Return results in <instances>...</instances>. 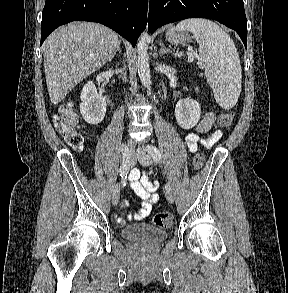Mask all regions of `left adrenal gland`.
<instances>
[{"mask_svg": "<svg viewBox=\"0 0 288 293\" xmlns=\"http://www.w3.org/2000/svg\"><path fill=\"white\" fill-rule=\"evenodd\" d=\"M167 52L172 53V51L165 47L164 43H160L159 55L163 56V54Z\"/></svg>", "mask_w": 288, "mask_h": 293, "instance_id": "a2214340", "label": "left adrenal gland"}]
</instances>
